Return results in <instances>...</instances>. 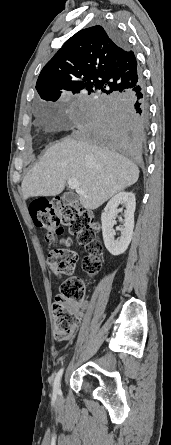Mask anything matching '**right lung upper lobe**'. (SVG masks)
<instances>
[{
    "instance_id": "cb5924a9",
    "label": "right lung upper lobe",
    "mask_w": 171,
    "mask_h": 445,
    "mask_svg": "<svg viewBox=\"0 0 171 445\" xmlns=\"http://www.w3.org/2000/svg\"><path fill=\"white\" fill-rule=\"evenodd\" d=\"M141 82L127 44H118L106 27L96 25L68 39L42 69L36 89L42 99L56 101L62 90L124 94Z\"/></svg>"
}]
</instances>
